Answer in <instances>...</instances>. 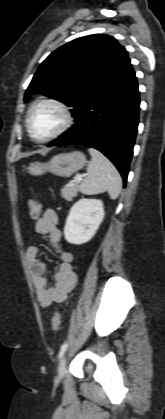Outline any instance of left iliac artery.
<instances>
[{"instance_id": "1", "label": "left iliac artery", "mask_w": 165, "mask_h": 419, "mask_svg": "<svg viewBox=\"0 0 165 419\" xmlns=\"http://www.w3.org/2000/svg\"><path fill=\"white\" fill-rule=\"evenodd\" d=\"M67 347H68V343H65V344L62 345V347L60 349V352H59V355H58V358L59 359L63 356V354L65 353Z\"/></svg>"}]
</instances>
